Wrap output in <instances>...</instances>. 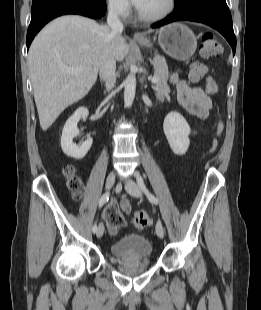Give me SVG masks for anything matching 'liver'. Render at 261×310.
<instances>
[{
  "label": "liver",
  "mask_w": 261,
  "mask_h": 310,
  "mask_svg": "<svg viewBox=\"0 0 261 310\" xmlns=\"http://www.w3.org/2000/svg\"><path fill=\"white\" fill-rule=\"evenodd\" d=\"M152 30L149 31V33ZM129 52L125 38L109 26L78 15L58 17L33 40L29 74L40 126L46 131L65 108L87 95L103 62L123 61ZM82 68L67 73L65 68Z\"/></svg>",
  "instance_id": "liver-1"
}]
</instances>
